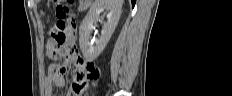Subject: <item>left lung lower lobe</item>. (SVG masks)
<instances>
[{
  "label": "left lung lower lobe",
  "instance_id": "1",
  "mask_svg": "<svg viewBox=\"0 0 232 96\" xmlns=\"http://www.w3.org/2000/svg\"><path fill=\"white\" fill-rule=\"evenodd\" d=\"M131 2H132V6H134L135 5V0H131Z\"/></svg>",
  "mask_w": 232,
  "mask_h": 96
}]
</instances>
